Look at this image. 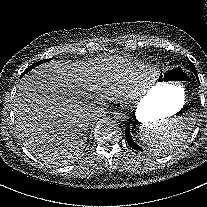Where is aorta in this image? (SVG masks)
Instances as JSON below:
<instances>
[{"label":"aorta","mask_w":207,"mask_h":207,"mask_svg":"<svg viewBox=\"0 0 207 207\" xmlns=\"http://www.w3.org/2000/svg\"><path fill=\"white\" fill-rule=\"evenodd\" d=\"M113 117L116 121H127L129 119L128 110L125 107H120L113 112Z\"/></svg>","instance_id":"obj_1"}]
</instances>
